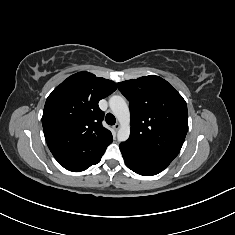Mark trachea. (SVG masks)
I'll use <instances>...</instances> for the list:
<instances>
[{"mask_svg":"<svg viewBox=\"0 0 235 235\" xmlns=\"http://www.w3.org/2000/svg\"><path fill=\"white\" fill-rule=\"evenodd\" d=\"M106 123L108 124V125H114L115 124V122H116V119H115V117H114V115L113 114H111V113H108L107 115H106Z\"/></svg>","mask_w":235,"mask_h":235,"instance_id":"3493384b","label":"trachea"}]
</instances>
